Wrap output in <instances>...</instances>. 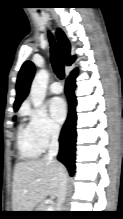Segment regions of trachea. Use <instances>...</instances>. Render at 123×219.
Listing matches in <instances>:
<instances>
[{"label":"trachea","instance_id":"3493384b","mask_svg":"<svg viewBox=\"0 0 123 219\" xmlns=\"http://www.w3.org/2000/svg\"><path fill=\"white\" fill-rule=\"evenodd\" d=\"M49 41L51 45V62H52L53 70L55 74L58 76V78L63 79L64 78V65L60 57V54L56 48V45H55V42H54V39L51 33H49Z\"/></svg>","mask_w":123,"mask_h":219}]
</instances>
